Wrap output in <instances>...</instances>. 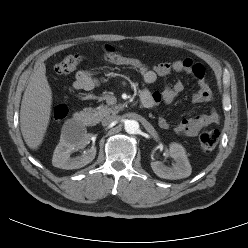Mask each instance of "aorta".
Instances as JSON below:
<instances>
[{"label":"aorta","mask_w":248,"mask_h":248,"mask_svg":"<svg viewBox=\"0 0 248 248\" xmlns=\"http://www.w3.org/2000/svg\"><path fill=\"white\" fill-rule=\"evenodd\" d=\"M124 127L128 134H136L139 131V123L136 120H127Z\"/></svg>","instance_id":"762f6f07"}]
</instances>
